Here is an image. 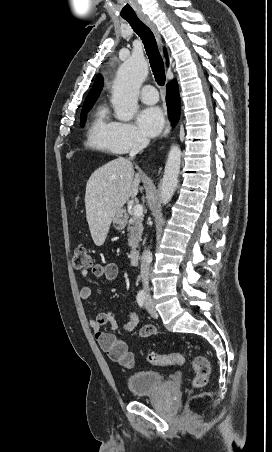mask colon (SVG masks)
I'll list each match as a JSON object with an SVG mask.
<instances>
[{
  "label": "colon",
  "instance_id": "obj_1",
  "mask_svg": "<svg viewBox=\"0 0 272 452\" xmlns=\"http://www.w3.org/2000/svg\"><path fill=\"white\" fill-rule=\"evenodd\" d=\"M92 265L91 257L84 245L76 246L73 256V267L75 269L87 268ZM109 357L119 364H129L132 361V356L128 352L124 343L116 344ZM146 360L150 364L167 367L172 365H183L185 363V357L181 353H171V354H158V353H148L146 355ZM192 366L195 371V378L193 380V388L198 389L203 387L210 376L211 365L210 362L201 355H196L192 358Z\"/></svg>",
  "mask_w": 272,
  "mask_h": 452
}]
</instances>
